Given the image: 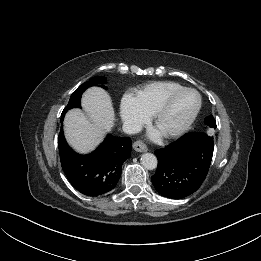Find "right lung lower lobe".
<instances>
[{"mask_svg": "<svg viewBox=\"0 0 261 261\" xmlns=\"http://www.w3.org/2000/svg\"><path fill=\"white\" fill-rule=\"evenodd\" d=\"M58 148L62 169L73 187L84 195L99 196L115 188L132 142L129 137L108 135L94 152L79 155L67 145L61 125Z\"/></svg>", "mask_w": 261, "mask_h": 261, "instance_id": "1", "label": "right lung lower lobe"}]
</instances>
